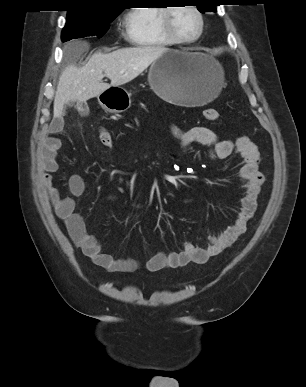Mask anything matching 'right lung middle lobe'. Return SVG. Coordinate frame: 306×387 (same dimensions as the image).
<instances>
[{"label": "right lung middle lobe", "instance_id": "dd1d6c3e", "mask_svg": "<svg viewBox=\"0 0 306 387\" xmlns=\"http://www.w3.org/2000/svg\"><path fill=\"white\" fill-rule=\"evenodd\" d=\"M121 11H114L93 16H67L66 25L62 31V41L86 36L102 37L109 29V23Z\"/></svg>", "mask_w": 306, "mask_h": 387}]
</instances>
